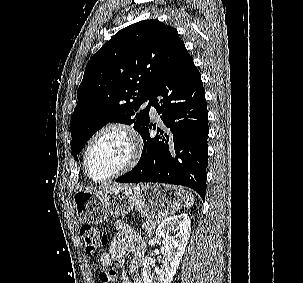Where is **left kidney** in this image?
<instances>
[{
  "label": "left kidney",
  "instance_id": "obj_1",
  "mask_svg": "<svg viewBox=\"0 0 303 283\" xmlns=\"http://www.w3.org/2000/svg\"><path fill=\"white\" fill-rule=\"evenodd\" d=\"M191 231V220L187 214L169 217L156 230L158 241L162 240L165 259L160 268H155V260L146 258L143 263L144 283H171L185 252ZM169 232L173 235L169 236ZM155 268V273L152 269Z\"/></svg>",
  "mask_w": 303,
  "mask_h": 283
}]
</instances>
